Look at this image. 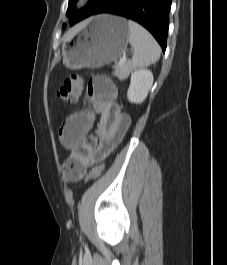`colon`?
Here are the masks:
<instances>
[{"instance_id": "5ec220e1", "label": "colon", "mask_w": 227, "mask_h": 265, "mask_svg": "<svg viewBox=\"0 0 227 265\" xmlns=\"http://www.w3.org/2000/svg\"><path fill=\"white\" fill-rule=\"evenodd\" d=\"M83 90V80L78 74H72L58 90V97L67 104L75 103L81 96ZM83 165V157L78 152H72L64 162L63 168L68 179H73L76 172ZM104 169V164H98L86 176V182L97 179Z\"/></svg>"}]
</instances>
